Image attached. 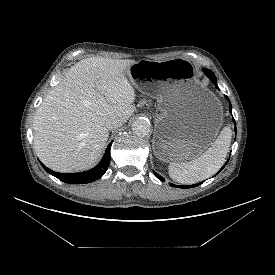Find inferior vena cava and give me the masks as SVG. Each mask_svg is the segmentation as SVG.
<instances>
[{
    "mask_svg": "<svg viewBox=\"0 0 275 275\" xmlns=\"http://www.w3.org/2000/svg\"><path fill=\"white\" fill-rule=\"evenodd\" d=\"M124 123V120L120 116H112L106 121V127L108 130H113L118 127H121Z\"/></svg>",
    "mask_w": 275,
    "mask_h": 275,
    "instance_id": "602c4592",
    "label": "inferior vena cava"
}]
</instances>
